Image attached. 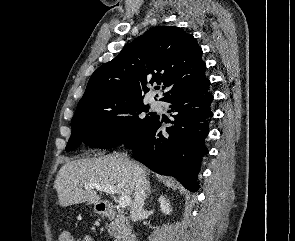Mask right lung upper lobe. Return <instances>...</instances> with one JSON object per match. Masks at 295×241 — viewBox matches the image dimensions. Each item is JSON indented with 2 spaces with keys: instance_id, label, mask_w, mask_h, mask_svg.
Wrapping results in <instances>:
<instances>
[{
  "instance_id": "right-lung-upper-lobe-1",
  "label": "right lung upper lobe",
  "mask_w": 295,
  "mask_h": 241,
  "mask_svg": "<svg viewBox=\"0 0 295 241\" xmlns=\"http://www.w3.org/2000/svg\"><path fill=\"white\" fill-rule=\"evenodd\" d=\"M202 49L195 38L176 26L153 27L128 44L90 77L79 101L121 98L143 102L147 84H164L170 96L208 81Z\"/></svg>"
}]
</instances>
